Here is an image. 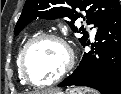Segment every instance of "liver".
<instances>
[{
	"mask_svg": "<svg viewBox=\"0 0 121 94\" xmlns=\"http://www.w3.org/2000/svg\"><path fill=\"white\" fill-rule=\"evenodd\" d=\"M33 94H55V91L49 90V91H42V92H35Z\"/></svg>",
	"mask_w": 121,
	"mask_h": 94,
	"instance_id": "1",
	"label": "liver"
}]
</instances>
